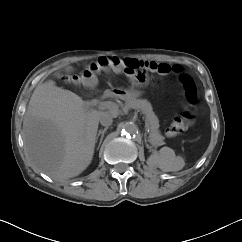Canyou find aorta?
Returning a JSON list of instances; mask_svg holds the SVG:
<instances>
[{
  "mask_svg": "<svg viewBox=\"0 0 242 242\" xmlns=\"http://www.w3.org/2000/svg\"><path fill=\"white\" fill-rule=\"evenodd\" d=\"M123 131L129 135H135L138 133V127L132 122H126L123 126Z\"/></svg>",
  "mask_w": 242,
  "mask_h": 242,
  "instance_id": "1",
  "label": "aorta"
}]
</instances>
